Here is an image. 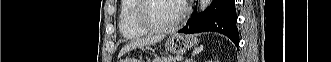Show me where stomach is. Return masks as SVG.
<instances>
[{
    "label": "stomach",
    "instance_id": "stomach-1",
    "mask_svg": "<svg viewBox=\"0 0 331 62\" xmlns=\"http://www.w3.org/2000/svg\"><path fill=\"white\" fill-rule=\"evenodd\" d=\"M198 40L192 36H183L181 34H172L165 42V48L168 52L175 54H183L191 48H195ZM124 62H139V61H124Z\"/></svg>",
    "mask_w": 331,
    "mask_h": 62
}]
</instances>
